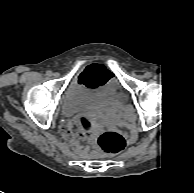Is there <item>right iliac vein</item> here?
<instances>
[{
  "label": "right iliac vein",
  "instance_id": "1",
  "mask_svg": "<svg viewBox=\"0 0 194 193\" xmlns=\"http://www.w3.org/2000/svg\"><path fill=\"white\" fill-rule=\"evenodd\" d=\"M53 76H54L55 78H58V77H60V74H59L58 72H55V73L53 74Z\"/></svg>",
  "mask_w": 194,
  "mask_h": 193
}]
</instances>
